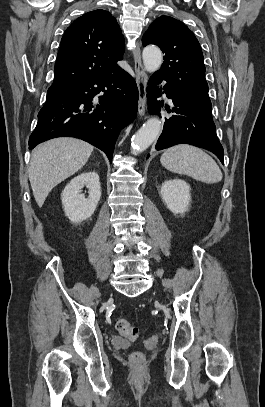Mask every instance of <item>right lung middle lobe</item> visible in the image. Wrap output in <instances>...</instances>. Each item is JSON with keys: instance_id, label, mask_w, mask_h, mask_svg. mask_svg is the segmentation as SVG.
Masks as SVG:
<instances>
[{"instance_id": "right-lung-middle-lobe-1", "label": "right lung middle lobe", "mask_w": 265, "mask_h": 407, "mask_svg": "<svg viewBox=\"0 0 265 407\" xmlns=\"http://www.w3.org/2000/svg\"><path fill=\"white\" fill-rule=\"evenodd\" d=\"M73 86H66V85H59V86H51L48 89L47 99L65 94L68 92Z\"/></svg>"}]
</instances>
